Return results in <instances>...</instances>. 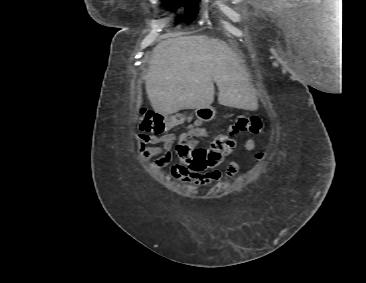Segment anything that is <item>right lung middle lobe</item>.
<instances>
[{
  "instance_id": "1",
  "label": "right lung middle lobe",
  "mask_w": 366,
  "mask_h": 283,
  "mask_svg": "<svg viewBox=\"0 0 366 283\" xmlns=\"http://www.w3.org/2000/svg\"><path fill=\"white\" fill-rule=\"evenodd\" d=\"M163 1L164 2L181 1L182 4L186 7L187 12H189L190 15L195 16L196 12L194 11V9L196 8V5L199 0H163Z\"/></svg>"
}]
</instances>
